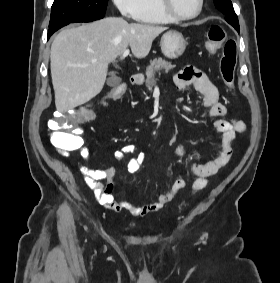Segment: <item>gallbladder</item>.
<instances>
[{
	"label": "gallbladder",
	"instance_id": "obj_1",
	"mask_svg": "<svg viewBox=\"0 0 280 283\" xmlns=\"http://www.w3.org/2000/svg\"><path fill=\"white\" fill-rule=\"evenodd\" d=\"M120 83H121V78L118 77L115 73L111 72L107 79V85L109 87H117Z\"/></svg>",
	"mask_w": 280,
	"mask_h": 283
}]
</instances>
